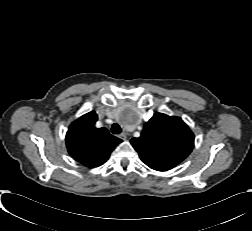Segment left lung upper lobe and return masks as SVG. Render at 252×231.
<instances>
[{"mask_svg":"<svg viewBox=\"0 0 252 231\" xmlns=\"http://www.w3.org/2000/svg\"><path fill=\"white\" fill-rule=\"evenodd\" d=\"M131 144L150 168H173L191 153L194 134L181 118L155 113Z\"/></svg>","mask_w":252,"mask_h":231,"instance_id":"obj_1","label":"left lung upper lobe"}]
</instances>
